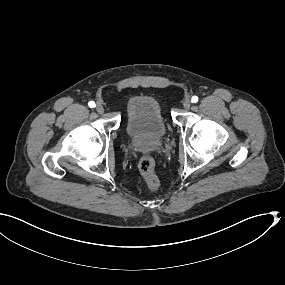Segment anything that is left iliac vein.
<instances>
[{"label": "left iliac vein", "mask_w": 285, "mask_h": 285, "mask_svg": "<svg viewBox=\"0 0 285 285\" xmlns=\"http://www.w3.org/2000/svg\"><path fill=\"white\" fill-rule=\"evenodd\" d=\"M190 106H191V101H190V99L186 98V99L183 101V107H184L185 109H189Z\"/></svg>", "instance_id": "1"}]
</instances>
